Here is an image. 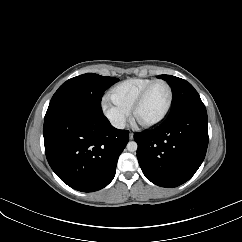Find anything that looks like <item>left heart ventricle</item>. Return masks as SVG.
<instances>
[{
	"mask_svg": "<svg viewBox=\"0 0 242 242\" xmlns=\"http://www.w3.org/2000/svg\"><path fill=\"white\" fill-rule=\"evenodd\" d=\"M169 98L167 87L156 84L148 93L143 104L136 113V120L147 123L156 120L164 111Z\"/></svg>",
	"mask_w": 242,
	"mask_h": 242,
	"instance_id": "b2bd125f",
	"label": "left heart ventricle"
}]
</instances>
